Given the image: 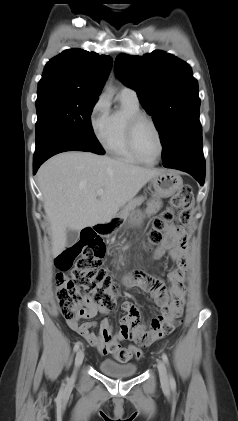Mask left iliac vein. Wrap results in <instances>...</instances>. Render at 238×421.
Returning a JSON list of instances; mask_svg holds the SVG:
<instances>
[{"label": "left iliac vein", "mask_w": 238, "mask_h": 421, "mask_svg": "<svg viewBox=\"0 0 238 421\" xmlns=\"http://www.w3.org/2000/svg\"><path fill=\"white\" fill-rule=\"evenodd\" d=\"M157 366H158L161 384L165 387H168L169 386V378H168V373H167L165 363L162 360H158Z\"/></svg>", "instance_id": "left-iliac-vein-1"}]
</instances>
